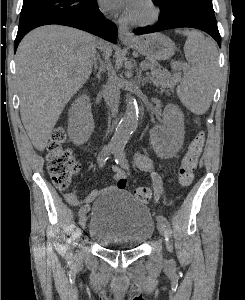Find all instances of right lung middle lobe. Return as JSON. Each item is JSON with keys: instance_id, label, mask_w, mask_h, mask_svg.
<instances>
[{"instance_id": "1", "label": "right lung middle lobe", "mask_w": 245, "mask_h": 300, "mask_svg": "<svg viewBox=\"0 0 245 300\" xmlns=\"http://www.w3.org/2000/svg\"><path fill=\"white\" fill-rule=\"evenodd\" d=\"M96 6V0H24L19 28L60 15L84 14Z\"/></svg>"}]
</instances>
